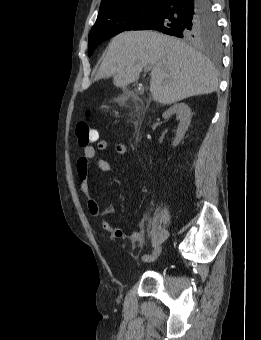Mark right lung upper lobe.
<instances>
[{"label":"right lung upper lobe","instance_id":"cb5924a9","mask_svg":"<svg viewBox=\"0 0 261 340\" xmlns=\"http://www.w3.org/2000/svg\"><path fill=\"white\" fill-rule=\"evenodd\" d=\"M136 1H146V0H102L101 5H100L99 14H101L102 12H104L108 9L118 7V6H122V5H126V4H129V3H132V2H136Z\"/></svg>","mask_w":261,"mask_h":340}]
</instances>
